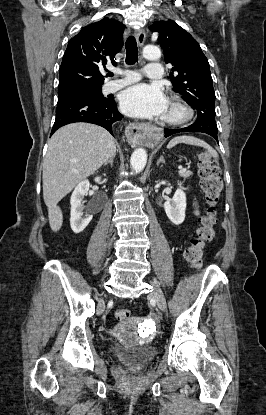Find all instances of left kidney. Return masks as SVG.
I'll return each mask as SVG.
<instances>
[{"label":"left kidney","instance_id":"left-kidney-1","mask_svg":"<svg viewBox=\"0 0 266 415\" xmlns=\"http://www.w3.org/2000/svg\"><path fill=\"white\" fill-rule=\"evenodd\" d=\"M186 205V194L181 188L176 190L172 199L164 203L165 212L173 224L179 225L184 222Z\"/></svg>","mask_w":266,"mask_h":415}]
</instances>
